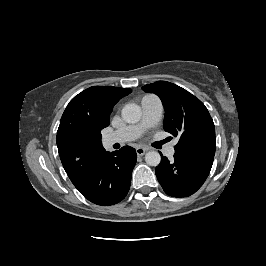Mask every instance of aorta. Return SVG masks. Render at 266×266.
Listing matches in <instances>:
<instances>
[{
	"instance_id": "obj_1",
	"label": "aorta",
	"mask_w": 266,
	"mask_h": 266,
	"mask_svg": "<svg viewBox=\"0 0 266 266\" xmlns=\"http://www.w3.org/2000/svg\"><path fill=\"white\" fill-rule=\"evenodd\" d=\"M141 108L134 103L126 104L122 109V118L127 123H136L141 118ZM145 161L150 166H157L161 161V156L157 151H149L145 155Z\"/></svg>"
}]
</instances>
